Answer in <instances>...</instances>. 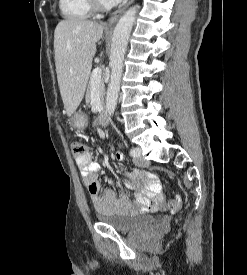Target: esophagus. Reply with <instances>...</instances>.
<instances>
[{
	"label": "esophagus",
	"instance_id": "34e87169",
	"mask_svg": "<svg viewBox=\"0 0 247 275\" xmlns=\"http://www.w3.org/2000/svg\"><path fill=\"white\" fill-rule=\"evenodd\" d=\"M134 0H129L128 2H127V4L124 6V7H122V8H120L119 10H117L116 12H114L113 14H112V16L109 18V20H108V25L111 27V26H113L116 22H117V20L120 18V16L122 15V13L126 10V8L133 2Z\"/></svg>",
	"mask_w": 247,
	"mask_h": 275
}]
</instances>
